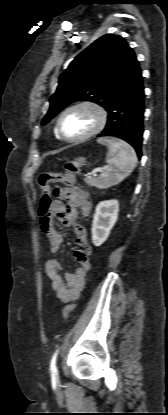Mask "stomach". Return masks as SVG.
<instances>
[{
  "label": "stomach",
  "mask_w": 168,
  "mask_h": 415,
  "mask_svg": "<svg viewBox=\"0 0 168 415\" xmlns=\"http://www.w3.org/2000/svg\"><path fill=\"white\" fill-rule=\"evenodd\" d=\"M85 162H86L85 158L80 157V158L75 159V160L73 161V164H74L76 167H81V166L85 165Z\"/></svg>",
  "instance_id": "1"
}]
</instances>
